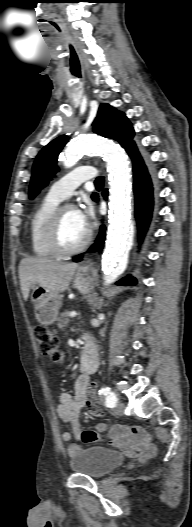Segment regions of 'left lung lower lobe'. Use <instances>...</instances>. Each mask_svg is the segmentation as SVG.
I'll return each instance as SVG.
<instances>
[{
    "label": "left lung lower lobe",
    "mask_w": 192,
    "mask_h": 527,
    "mask_svg": "<svg viewBox=\"0 0 192 527\" xmlns=\"http://www.w3.org/2000/svg\"><path fill=\"white\" fill-rule=\"evenodd\" d=\"M127 153L132 159L133 162V172H134V193H135V206H136V219L138 223L139 228V236L140 238L143 237L145 234V231L149 225L151 214H152V208H153V196H152V183L151 179L149 177V174L147 172V168L136 148L134 145L132 148H130ZM104 197H107V189L103 192ZM105 227L102 225L100 228V234L95 242L93 244L89 251L90 252H96L100 251L103 248V242H104V236H105ZM79 258H81V255L77 256L75 258V262H79ZM137 283L136 279L134 277L128 276L124 277L120 281H118L116 284L120 286H131L135 285Z\"/></svg>",
    "instance_id": "obj_1"
}]
</instances>
